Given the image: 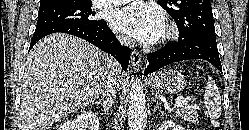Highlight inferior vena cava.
I'll use <instances>...</instances> for the list:
<instances>
[{"instance_id":"inferior-vena-cava-1","label":"inferior vena cava","mask_w":249,"mask_h":130,"mask_svg":"<svg viewBox=\"0 0 249 130\" xmlns=\"http://www.w3.org/2000/svg\"><path fill=\"white\" fill-rule=\"evenodd\" d=\"M118 39L121 42V44L131 47L132 41L129 38L119 37ZM112 66H113L112 73L109 76V79L102 91V96L106 97L111 102L113 101V97H115L118 87L117 74L121 72L120 65L116 60L112 61Z\"/></svg>"}]
</instances>
